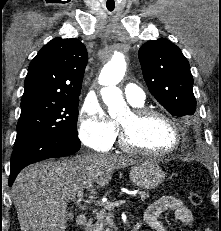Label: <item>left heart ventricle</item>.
I'll return each instance as SVG.
<instances>
[{
    "label": "left heart ventricle",
    "instance_id": "left-heart-ventricle-1",
    "mask_svg": "<svg viewBox=\"0 0 221 231\" xmlns=\"http://www.w3.org/2000/svg\"><path fill=\"white\" fill-rule=\"evenodd\" d=\"M119 123L133 126L130 112L119 119ZM133 138L145 149L162 152L171 149L176 141L173 127L160 117H152L135 127Z\"/></svg>",
    "mask_w": 221,
    "mask_h": 231
}]
</instances>
